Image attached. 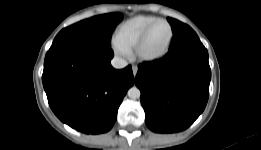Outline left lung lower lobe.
<instances>
[{
    "label": "left lung lower lobe",
    "instance_id": "0a47b994",
    "mask_svg": "<svg viewBox=\"0 0 261 150\" xmlns=\"http://www.w3.org/2000/svg\"><path fill=\"white\" fill-rule=\"evenodd\" d=\"M210 79L208 52L197 34L189 26L174 33L164 58L138 67L147 127L158 133L188 128L207 104Z\"/></svg>",
    "mask_w": 261,
    "mask_h": 150
}]
</instances>
